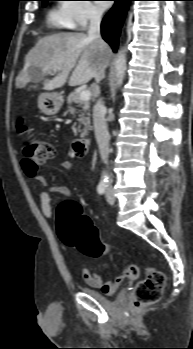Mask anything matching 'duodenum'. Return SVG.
Returning <instances> with one entry per match:
<instances>
[{
  "label": "duodenum",
  "mask_w": 193,
  "mask_h": 349,
  "mask_svg": "<svg viewBox=\"0 0 193 349\" xmlns=\"http://www.w3.org/2000/svg\"><path fill=\"white\" fill-rule=\"evenodd\" d=\"M90 148V140L87 138L79 139L73 142L72 151L77 157L85 156Z\"/></svg>",
  "instance_id": "duodenum-1"
}]
</instances>
